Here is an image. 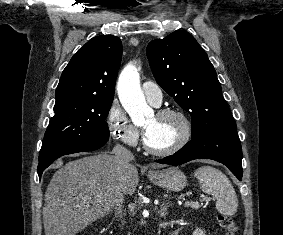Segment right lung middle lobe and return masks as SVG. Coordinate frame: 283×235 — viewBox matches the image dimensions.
<instances>
[{
  "label": "right lung middle lobe",
  "mask_w": 283,
  "mask_h": 235,
  "mask_svg": "<svg viewBox=\"0 0 283 235\" xmlns=\"http://www.w3.org/2000/svg\"><path fill=\"white\" fill-rule=\"evenodd\" d=\"M113 98L74 97L54 106L45 132L39 160L64 146L96 137H109L105 122Z\"/></svg>",
  "instance_id": "1"
}]
</instances>
